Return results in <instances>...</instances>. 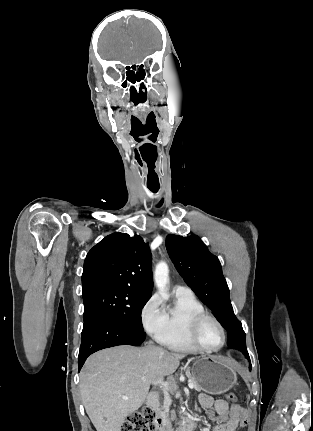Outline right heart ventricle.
Returning a JSON list of instances; mask_svg holds the SVG:
<instances>
[{"label":"right heart ventricle","instance_id":"obj_1","mask_svg":"<svg viewBox=\"0 0 313 431\" xmlns=\"http://www.w3.org/2000/svg\"><path fill=\"white\" fill-rule=\"evenodd\" d=\"M166 311V327L159 341L167 348L189 352L198 350L189 340L188 331L192 320L205 312L202 303L192 294H177L172 306Z\"/></svg>","mask_w":313,"mask_h":431}]
</instances>
